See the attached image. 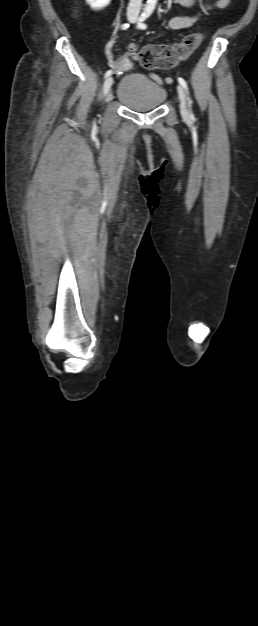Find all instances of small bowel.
I'll return each mask as SVG.
<instances>
[{"label":"small bowel","mask_w":258,"mask_h":626,"mask_svg":"<svg viewBox=\"0 0 258 626\" xmlns=\"http://www.w3.org/2000/svg\"><path fill=\"white\" fill-rule=\"evenodd\" d=\"M174 3L179 4L183 7H194L197 5L201 6V12L193 15V16H176L169 20L168 26L173 30L186 29L194 25L201 17L203 13H206L212 8L223 9L225 8L230 0H173ZM106 56L107 59L115 70L124 71L127 70L131 65V60L127 55H123L119 58L116 57L115 54V45L113 42H109L106 46ZM150 78L158 83L162 84L163 82L171 83L172 79L167 77L164 80L157 74L151 73Z\"/></svg>","instance_id":"1"}]
</instances>
